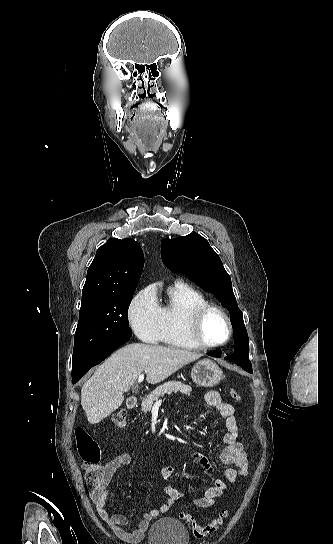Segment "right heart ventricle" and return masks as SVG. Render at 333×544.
Wrapping results in <instances>:
<instances>
[{"label":"right heart ventricle","mask_w":333,"mask_h":544,"mask_svg":"<svg viewBox=\"0 0 333 544\" xmlns=\"http://www.w3.org/2000/svg\"><path fill=\"white\" fill-rule=\"evenodd\" d=\"M206 302L204 294L188 284L176 282L170 286L167 301L160 306L163 318L162 341L178 348H201L191 338L189 319L193 310Z\"/></svg>","instance_id":"obj_1"}]
</instances>
